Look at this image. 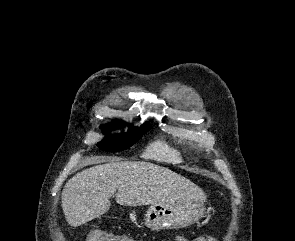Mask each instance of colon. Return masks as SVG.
Instances as JSON below:
<instances>
[{"label":"colon","mask_w":295,"mask_h":241,"mask_svg":"<svg viewBox=\"0 0 295 241\" xmlns=\"http://www.w3.org/2000/svg\"><path fill=\"white\" fill-rule=\"evenodd\" d=\"M87 241H132L131 238L124 235L109 233L102 230H92L89 232ZM178 241H186L184 238H178ZM191 241H217L215 238H201Z\"/></svg>","instance_id":"5ec220e1"}]
</instances>
